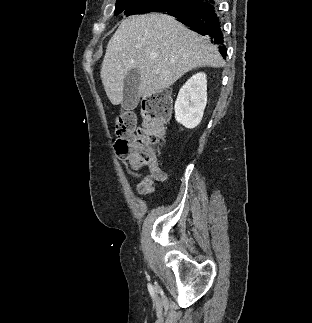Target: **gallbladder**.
<instances>
[{"label": "gallbladder", "instance_id": "1", "mask_svg": "<svg viewBox=\"0 0 312 323\" xmlns=\"http://www.w3.org/2000/svg\"><path fill=\"white\" fill-rule=\"evenodd\" d=\"M141 74L139 70H129L123 86L122 106L124 110H133L139 102Z\"/></svg>", "mask_w": 312, "mask_h": 323}]
</instances>
